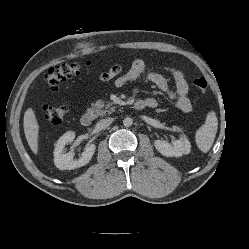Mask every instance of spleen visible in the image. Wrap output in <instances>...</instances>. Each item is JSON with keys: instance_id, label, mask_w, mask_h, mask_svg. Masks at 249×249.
<instances>
[{"instance_id": "3e777b00", "label": "spleen", "mask_w": 249, "mask_h": 249, "mask_svg": "<svg viewBox=\"0 0 249 249\" xmlns=\"http://www.w3.org/2000/svg\"><path fill=\"white\" fill-rule=\"evenodd\" d=\"M218 129V119L214 111H210L204 124L196 131L195 141L197 147L207 153L212 147Z\"/></svg>"}]
</instances>
